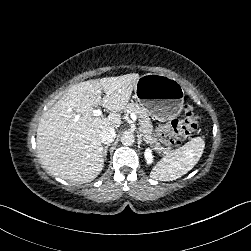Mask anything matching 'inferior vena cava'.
I'll return each mask as SVG.
<instances>
[{
	"instance_id": "inferior-vena-cava-1",
	"label": "inferior vena cava",
	"mask_w": 251,
	"mask_h": 251,
	"mask_svg": "<svg viewBox=\"0 0 251 251\" xmlns=\"http://www.w3.org/2000/svg\"><path fill=\"white\" fill-rule=\"evenodd\" d=\"M115 137L116 132L114 128H104L99 134L101 144H110L114 141Z\"/></svg>"
}]
</instances>
